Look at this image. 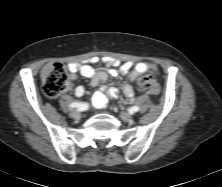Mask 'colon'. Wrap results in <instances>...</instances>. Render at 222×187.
<instances>
[{
    "label": "colon",
    "instance_id": "1",
    "mask_svg": "<svg viewBox=\"0 0 222 187\" xmlns=\"http://www.w3.org/2000/svg\"><path fill=\"white\" fill-rule=\"evenodd\" d=\"M43 90L47 97L56 98L70 88L69 74L66 68L57 62L46 65L42 71ZM139 87L149 93H157L159 86L154 80L152 71L139 78Z\"/></svg>",
    "mask_w": 222,
    "mask_h": 187
}]
</instances>
